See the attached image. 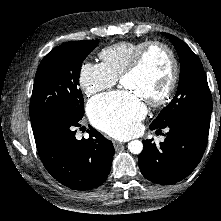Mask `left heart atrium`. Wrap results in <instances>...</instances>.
Wrapping results in <instances>:
<instances>
[{
  "label": "left heart atrium",
  "instance_id": "39dd6f15",
  "mask_svg": "<svg viewBox=\"0 0 221 221\" xmlns=\"http://www.w3.org/2000/svg\"><path fill=\"white\" fill-rule=\"evenodd\" d=\"M87 110L98 129L120 140L139 131L147 111L142 97L133 90L98 96L89 102Z\"/></svg>",
  "mask_w": 221,
  "mask_h": 221
}]
</instances>
